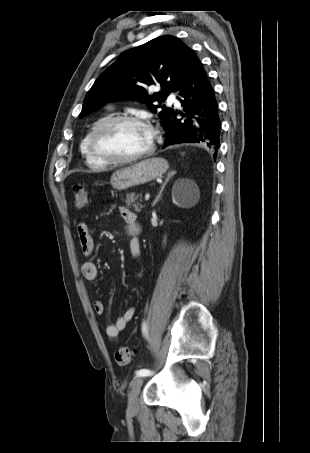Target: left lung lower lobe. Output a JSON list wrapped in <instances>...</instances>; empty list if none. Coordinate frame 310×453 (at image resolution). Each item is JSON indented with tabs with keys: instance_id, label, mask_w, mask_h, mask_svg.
<instances>
[{
	"instance_id": "obj_1",
	"label": "left lung lower lobe",
	"mask_w": 310,
	"mask_h": 453,
	"mask_svg": "<svg viewBox=\"0 0 310 453\" xmlns=\"http://www.w3.org/2000/svg\"><path fill=\"white\" fill-rule=\"evenodd\" d=\"M177 91L180 96L178 99L186 112L182 113L185 120H178L174 117L178 112L173 111L164 124L167 139L163 148L183 142L204 143L214 152L215 158L220 145L221 129L218 104L208 76L194 53Z\"/></svg>"
}]
</instances>
